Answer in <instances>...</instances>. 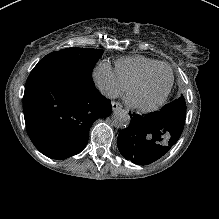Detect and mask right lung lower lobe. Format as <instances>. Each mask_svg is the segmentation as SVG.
I'll return each instance as SVG.
<instances>
[{"instance_id": "obj_1", "label": "right lung lower lobe", "mask_w": 219, "mask_h": 219, "mask_svg": "<svg viewBox=\"0 0 219 219\" xmlns=\"http://www.w3.org/2000/svg\"><path fill=\"white\" fill-rule=\"evenodd\" d=\"M23 109L33 144L55 159L80 152L94 121L112 111L111 102L96 90L92 71L66 59L35 66L25 85Z\"/></svg>"}]
</instances>
